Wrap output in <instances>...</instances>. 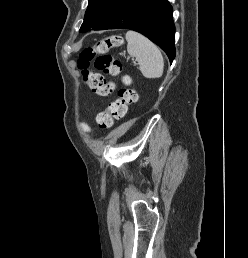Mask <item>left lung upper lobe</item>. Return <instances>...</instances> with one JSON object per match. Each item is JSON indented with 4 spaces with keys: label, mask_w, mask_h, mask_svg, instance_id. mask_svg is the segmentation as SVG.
I'll list each match as a JSON object with an SVG mask.
<instances>
[{
    "label": "left lung upper lobe",
    "mask_w": 248,
    "mask_h": 258,
    "mask_svg": "<svg viewBox=\"0 0 248 258\" xmlns=\"http://www.w3.org/2000/svg\"><path fill=\"white\" fill-rule=\"evenodd\" d=\"M128 0H89L80 32H86L114 16Z\"/></svg>",
    "instance_id": "obj_1"
}]
</instances>
